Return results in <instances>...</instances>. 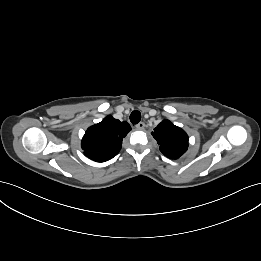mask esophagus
<instances>
[{
	"label": "esophagus",
	"mask_w": 261,
	"mask_h": 261,
	"mask_svg": "<svg viewBox=\"0 0 261 261\" xmlns=\"http://www.w3.org/2000/svg\"><path fill=\"white\" fill-rule=\"evenodd\" d=\"M145 128V123L144 122H139L137 125H136V129L137 130H143Z\"/></svg>",
	"instance_id": "esophagus-1"
}]
</instances>
